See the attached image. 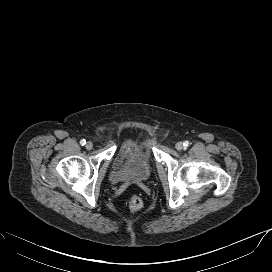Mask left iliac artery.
I'll return each instance as SVG.
<instances>
[{
  "instance_id": "left-iliac-artery-1",
  "label": "left iliac artery",
  "mask_w": 272,
  "mask_h": 272,
  "mask_svg": "<svg viewBox=\"0 0 272 272\" xmlns=\"http://www.w3.org/2000/svg\"><path fill=\"white\" fill-rule=\"evenodd\" d=\"M189 141H184V143H183V145L185 146V147H188L189 146Z\"/></svg>"
}]
</instances>
